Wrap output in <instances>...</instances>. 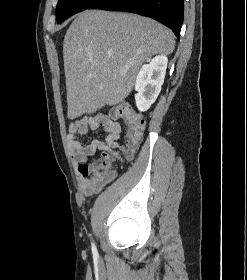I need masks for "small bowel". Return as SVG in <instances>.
I'll list each match as a JSON object with an SVG mask.
<instances>
[{
    "label": "small bowel",
    "mask_w": 247,
    "mask_h": 280,
    "mask_svg": "<svg viewBox=\"0 0 247 280\" xmlns=\"http://www.w3.org/2000/svg\"><path fill=\"white\" fill-rule=\"evenodd\" d=\"M101 128L106 136L104 140L94 139L89 144H82L79 136L85 135L89 130ZM121 125L106 114L99 113L93 117H83L73 121L69 126L68 142L72 161L76 170V179L79 189L85 195L98 193L107 183L115 177V172L109 179H97L83 171L84 165L92 158L96 151L110 152L118 148V139L121 135Z\"/></svg>",
    "instance_id": "obj_1"
}]
</instances>
